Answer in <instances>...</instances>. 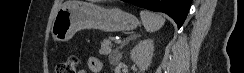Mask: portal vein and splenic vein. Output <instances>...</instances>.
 <instances>
[{
	"instance_id": "18ae733b",
	"label": "portal vein and splenic vein",
	"mask_w": 244,
	"mask_h": 73,
	"mask_svg": "<svg viewBox=\"0 0 244 73\" xmlns=\"http://www.w3.org/2000/svg\"><path fill=\"white\" fill-rule=\"evenodd\" d=\"M114 42L119 44V43H121V40H115Z\"/></svg>"
}]
</instances>
